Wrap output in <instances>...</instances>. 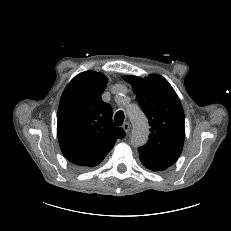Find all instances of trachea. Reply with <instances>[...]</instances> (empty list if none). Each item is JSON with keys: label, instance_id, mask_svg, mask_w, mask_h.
<instances>
[{"label": "trachea", "instance_id": "trachea-1", "mask_svg": "<svg viewBox=\"0 0 231 231\" xmlns=\"http://www.w3.org/2000/svg\"><path fill=\"white\" fill-rule=\"evenodd\" d=\"M123 121H124V113L122 111H118L115 114L114 123L116 126H121L123 124Z\"/></svg>", "mask_w": 231, "mask_h": 231}]
</instances>
